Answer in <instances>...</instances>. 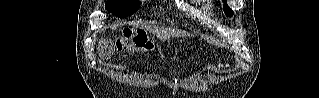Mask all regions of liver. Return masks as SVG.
Returning <instances> with one entry per match:
<instances>
[{"instance_id":"1","label":"liver","mask_w":319,"mask_h":98,"mask_svg":"<svg viewBox=\"0 0 319 98\" xmlns=\"http://www.w3.org/2000/svg\"><path fill=\"white\" fill-rule=\"evenodd\" d=\"M147 30L155 34L161 40H167L170 37H180V36H188L187 33L176 31L168 28H159V27H146ZM102 52V50H101Z\"/></svg>"}]
</instances>
